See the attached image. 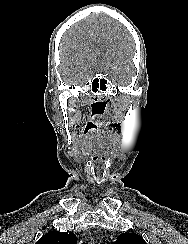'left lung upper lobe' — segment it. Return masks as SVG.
Instances as JSON below:
<instances>
[{
	"mask_svg": "<svg viewBox=\"0 0 188 244\" xmlns=\"http://www.w3.org/2000/svg\"><path fill=\"white\" fill-rule=\"evenodd\" d=\"M113 244H146V242L136 233H122Z\"/></svg>",
	"mask_w": 188,
	"mask_h": 244,
	"instance_id": "left-lung-upper-lobe-1",
	"label": "left lung upper lobe"
}]
</instances>
